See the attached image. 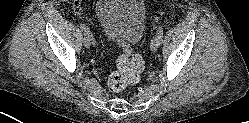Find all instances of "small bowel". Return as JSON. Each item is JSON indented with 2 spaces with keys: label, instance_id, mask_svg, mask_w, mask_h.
Here are the masks:
<instances>
[{
  "label": "small bowel",
  "instance_id": "obj_1",
  "mask_svg": "<svg viewBox=\"0 0 249 123\" xmlns=\"http://www.w3.org/2000/svg\"><path fill=\"white\" fill-rule=\"evenodd\" d=\"M80 10H81V7H80L79 2H75V4H74V13L79 14Z\"/></svg>",
  "mask_w": 249,
  "mask_h": 123
}]
</instances>
